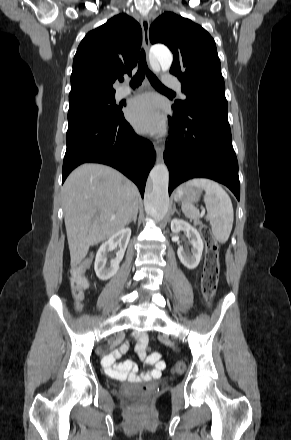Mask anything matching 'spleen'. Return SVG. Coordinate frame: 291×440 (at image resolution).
Masks as SVG:
<instances>
[{"label":"spleen","instance_id":"obj_1","mask_svg":"<svg viewBox=\"0 0 291 440\" xmlns=\"http://www.w3.org/2000/svg\"><path fill=\"white\" fill-rule=\"evenodd\" d=\"M187 186L204 189L206 219L210 222L212 232L218 242L226 243L234 220L233 206L229 195L217 182L207 178H194L188 181ZM181 208L184 215L190 219L195 220L200 216L199 210L187 202H182Z\"/></svg>","mask_w":291,"mask_h":440}]
</instances>
